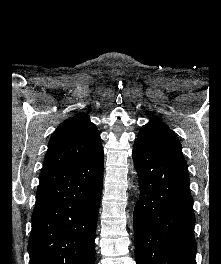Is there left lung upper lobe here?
Wrapping results in <instances>:
<instances>
[{"label":"left lung upper lobe","mask_w":221,"mask_h":264,"mask_svg":"<svg viewBox=\"0 0 221 264\" xmlns=\"http://www.w3.org/2000/svg\"><path fill=\"white\" fill-rule=\"evenodd\" d=\"M135 143L158 155L186 164L179 139L166 124L157 119H151L140 129Z\"/></svg>","instance_id":"obj_1"}]
</instances>
